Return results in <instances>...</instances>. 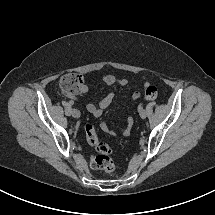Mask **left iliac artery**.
I'll use <instances>...</instances> for the list:
<instances>
[{
  "mask_svg": "<svg viewBox=\"0 0 215 215\" xmlns=\"http://www.w3.org/2000/svg\"><path fill=\"white\" fill-rule=\"evenodd\" d=\"M137 113H143V108H137Z\"/></svg>",
  "mask_w": 215,
  "mask_h": 215,
  "instance_id": "obj_1",
  "label": "left iliac artery"
}]
</instances>
